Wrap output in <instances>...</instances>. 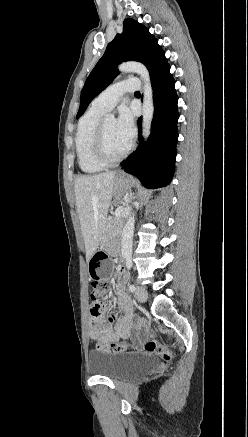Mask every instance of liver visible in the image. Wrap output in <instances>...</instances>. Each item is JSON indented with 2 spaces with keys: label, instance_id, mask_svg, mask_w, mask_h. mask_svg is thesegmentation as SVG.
I'll use <instances>...</instances> for the list:
<instances>
[{
  "label": "liver",
  "instance_id": "liver-1",
  "mask_svg": "<svg viewBox=\"0 0 248 437\" xmlns=\"http://www.w3.org/2000/svg\"><path fill=\"white\" fill-rule=\"evenodd\" d=\"M115 171L82 175L75 180L77 212L89 261L103 239L104 227L115 191Z\"/></svg>",
  "mask_w": 248,
  "mask_h": 437
}]
</instances>
